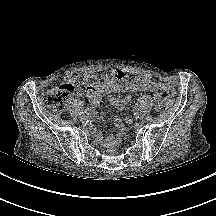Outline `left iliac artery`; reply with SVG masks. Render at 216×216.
Masks as SVG:
<instances>
[{"label": "left iliac artery", "mask_w": 216, "mask_h": 216, "mask_svg": "<svg viewBox=\"0 0 216 216\" xmlns=\"http://www.w3.org/2000/svg\"><path fill=\"white\" fill-rule=\"evenodd\" d=\"M136 108H137V107H136ZM132 114H133L134 116H137V115H138V112H135V111H134Z\"/></svg>", "instance_id": "obj_1"}]
</instances>
